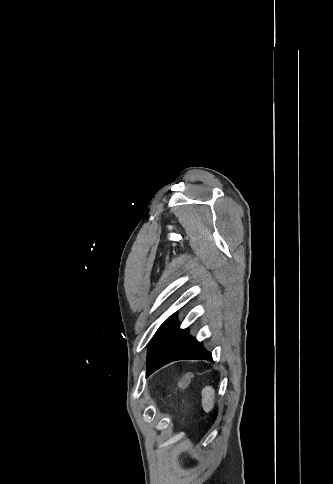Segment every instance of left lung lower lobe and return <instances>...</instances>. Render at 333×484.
<instances>
[{
    "mask_svg": "<svg viewBox=\"0 0 333 484\" xmlns=\"http://www.w3.org/2000/svg\"><path fill=\"white\" fill-rule=\"evenodd\" d=\"M180 359L212 360L211 353L205 350L202 343L180 330L177 326V313L171 315L157 330L148 349V368L146 375Z\"/></svg>",
    "mask_w": 333,
    "mask_h": 484,
    "instance_id": "0a47b994",
    "label": "left lung lower lobe"
}]
</instances>
